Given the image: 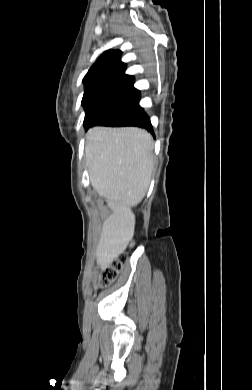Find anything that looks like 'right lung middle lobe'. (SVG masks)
Here are the masks:
<instances>
[{"instance_id": "dd1d6c3e", "label": "right lung middle lobe", "mask_w": 252, "mask_h": 390, "mask_svg": "<svg viewBox=\"0 0 252 390\" xmlns=\"http://www.w3.org/2000/svg\"><path fill=\"white\" fill-rule=\"evenodd\" d=\"M137 104L134 101L104 100L84 106L86 130L95 125H102L114 116Z\"/></svg>"}]
</instances>
